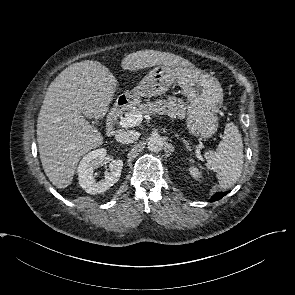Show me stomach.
Wrapping results in <instances>:
<instances>
[{
	"label": "stomach",
	"mask_w": 295,
	"mask_h": 295,
	"mask_svg": "<svg viewBox=\"0 0 295 295\" xmlns=\"http://www.w3.org/2000/svg\"><path fill=\"white\" fill-rule=\"evenodd\" d=\"M177 82L190 102L187 108V129L190 134L211 137L218 128L217 111L223 103V90L212 75L193 67L159 65L154 67L132 90L121 94L123 99L136 105L142 97L165 93Z\"/></svg>",
	"instance_id": "1"
}]
</instances>
